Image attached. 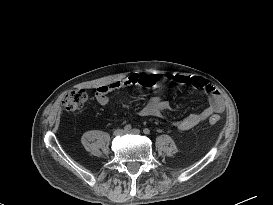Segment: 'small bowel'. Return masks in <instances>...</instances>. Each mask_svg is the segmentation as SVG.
Wrapping results in <instances>:
<instances>
[{"instance_id":"c3829d8e","label":"small bowel","mask_w":273,"mask_h":205,"mask_svg":"<svg viewBox=\"0 0 273 205\" xmlns=\"http://www.w3.org/2000/svg\"><path fill=\"white\" fill-rule=\"evenodd\" d=\"M160 79L181 84L188 83L195 88L204 90L208 95L209 104L202 112L191 113L176 122V126L180 130H190L206 120L209 116L222 113L225 109V104L220 93L207 80L180 73L166 74L161 77L156 74L142 75L140 73H131L121 79L100 85L96 90L95 98L100 106H107L109 103V92L133 85L151 88L156 85ZM169 109H171V105L168 100L161 96H155L144 104L140 110V114L142 116H160L164 111Z\"/></svg>"}]
</instances>
